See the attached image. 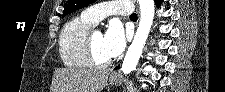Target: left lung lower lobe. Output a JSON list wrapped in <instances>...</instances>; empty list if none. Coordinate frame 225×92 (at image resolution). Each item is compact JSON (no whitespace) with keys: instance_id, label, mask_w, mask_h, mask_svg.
<instances>
[{"instance_id":"0a47b994","label":"left lung lower lobe","mask_w":225,"mask_h":92,"mask_svg":"<svg viewBox=\"0 0 225 92\" xmlns=\"http://www.w3.org/2000/svg\"><path fill=\"white\" fill-rule=\"evenodd\" d=\"M155 1H156L157 5L160 4V0H155ZM116 69H119V66H117Z\"/></svg>"}]
</instances>
